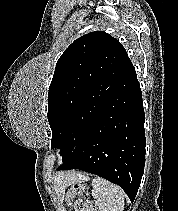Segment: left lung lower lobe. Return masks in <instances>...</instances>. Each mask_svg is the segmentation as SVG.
<instances>
[{
  "label": "left lung lower lobe",
  "mask_w": 178,
  "mask_h": 211,
  "mask_svg": "<svg viewBox=\"0 0 178 211\" xmlns=\"http://www.w3.org/2000/svg\"><path fill=\"white\" fill-rule=\"evenodd\" d=\"M142 94L132 63L84 139L57 170L80 169L118 184L134 201L145 165Z\"/></svg>",
  "instance_id": "obj_1"
}]
</instances>
